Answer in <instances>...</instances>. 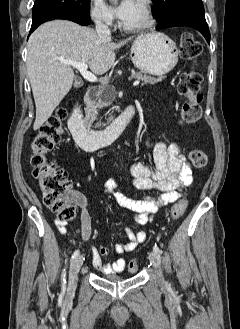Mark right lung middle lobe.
Here are the masks:
<instances>
[{"label":"right lung middle lobe","mask_w":240,"mask_h":329,"mask_svg":"<svg viewBox=\"0 0 240 329\" xmlns=\"http://www.w3.org/2000/svg\"><path fill=\"white\" fill-rule=\"evenodd\" d=\"M90 0H35L33 12L38 10H58L89 15Z\"/></svg>","instance_id":"obj_1"}]
</instances>
